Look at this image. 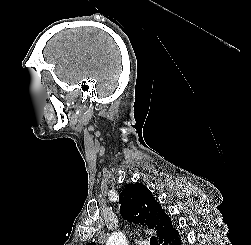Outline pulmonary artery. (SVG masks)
Segmentation results:
<instances>
[{"label": "pulmonary artery", "mask_w": 251, "mask_h": 245, "mask_svg": "<svg viewBox=\"0 0 251 245\" xmlns=\"http://www.w3.org/2000/svg\"><path fill=\"white\" fill-rule=\"evenodd\" d=\"M140 245H146V243H145V242H142Z\"/></svg>", "instance_id": "pulmonary-artery-1"}]
</instances>
